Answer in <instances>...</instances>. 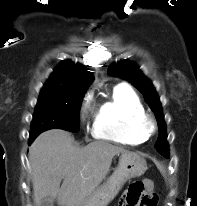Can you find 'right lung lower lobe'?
Wrapping results in <instances>:
<instances>
[{
  "mask_svg": "<svg viewBox=\"0 0 197 206\" xmlns=\"http://www.w3.org/2000/svg\"><path fill=\"white\" fill-rule=\"evenodd\" d=\"M33 140H34V139H29V144H31Z\"/></svg>",
  "mask_w": 197,
  "mask_h": 206,
  "instance_id": "1",
  "label": "right lung lower lobe"
}]
</instances>
